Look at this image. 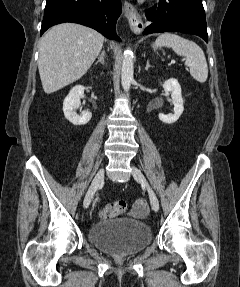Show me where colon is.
Masks as SVG:
<instances>
[{
    "label": "colon",
    "mask_w": 240,
    "mask_h": 287,
    "mask_svg": "<svg viewBox=\"0 0 240 287\" xmlns=\"http://www.w3.org/2000/svg\"><path fill=\"white\" fill-rule=\"evenodd\" d=\"M127 208V203L124 200H117L110 204H108L104 210L102 211V217L104 219L114 218L123 212H125Z\"/></svg>",
    "instance_id": "obj_1"
}]
</instances>
